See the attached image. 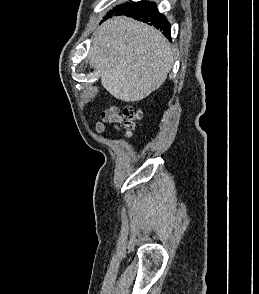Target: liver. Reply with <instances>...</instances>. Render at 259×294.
Returning <instances> with one entry per match:
<instances>
[{"label":"liver","mask_w":259,"mask_h":294,"mask_svg":"<svg viewBox=\"0 0 259 294\" xmlns=\"http://www.w3.org/2000/svg\"><path fill=\"white\" fill-rule=\"evenodd\" d=\"M88 59L90 67L100 71L102 86L125 102L140 101L157 90L173 63L160 31L126 17L109 19L97 28Z\"/></svg>","instance_id":"1"}]
</instances>
